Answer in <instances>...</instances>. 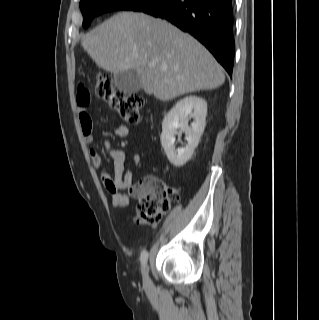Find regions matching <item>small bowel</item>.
I'll return each mask as SVG.
<instances>
[{
	"label": "small bowel",
	"instance_id": "small-bowel-1",
	"mask_svg": "<svg viewBox=\"0 0 319 320\" xmlns=\"http://www.w3.org/2000/svg\"><path fill=\"white\" fill-rule=\"evenodd\" d=\"M91 103V96L87 88L82 87L78 90L76 95V104L78 107V122L84 134L85 141L89 148V154L94 166L101 172L102 180L105 189L111 195V202L114 207H126L129 205L130 200L137 197L136 186L133 180V173L130 169L126 168L127 155L124 150L114 148L109 140L103 143L106 155L113 162V171L109 173L104 164V157L100 150L93 146L94 136L92 130L94 127L93 117L89 110ZM128 134V128L119 124L115 127L113 135L116 138H123ZM134 164L138 165L141 162V156L137 153L131 156ZM127 190V194L121 191Z\"/></svg>",
	"mask_w": 319,
	"mask_h": 320
}]
</instances>
